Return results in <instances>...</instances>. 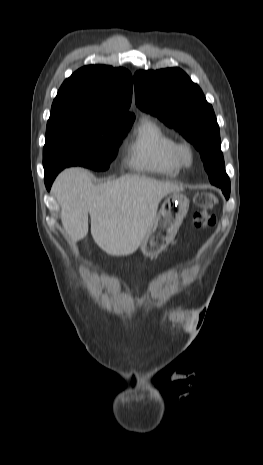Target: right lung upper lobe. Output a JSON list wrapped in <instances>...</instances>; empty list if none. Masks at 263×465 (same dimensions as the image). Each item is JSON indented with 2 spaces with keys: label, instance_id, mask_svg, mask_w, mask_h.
<instances>
[{
  "label": "right lung upper lobe",
  "instance_id": "right-lung-upper-lobe-1",
  "mask_svg": "<svg viewBox=\"0 0 263 465\" xmlns=\"http://www.w3.org/2000/svg\"><path fill=\"white\" fill-rule=\"evenodd\" d=\"M132 75L124 68L89 65L64 81L51 109L77 108L135 118L128 112Z\"/></svg>",
  "mask_w": 263,
  "mask_h": 465
}]
</instances>
